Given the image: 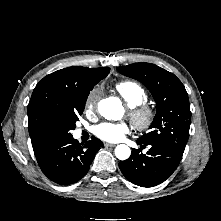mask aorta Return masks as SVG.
Instances as JSON below:
<instances>
[{
	"instance_id": "aorta-1",
	"label": "aorta",
	"mask_w": 221,
	"mask_h": 221,
	"mask_svg": "<svg viewBox=\"0 0 221 221\" xmlns=\"http://www.w3.org/2000/svg\"><path fill=\"white\" fill-rule=\"evenodd\" d=\"M99 113L107 120H119L123 116V106L116 97L102 99L98 103ZM115 155L119 160H126L131 155L130 148L125 144L117 145Z\"/></svg>"
}]
</instances>
